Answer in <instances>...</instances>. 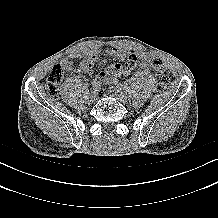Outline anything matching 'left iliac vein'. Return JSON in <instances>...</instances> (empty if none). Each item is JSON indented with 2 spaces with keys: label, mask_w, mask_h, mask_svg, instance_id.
I'll return each instance as SVG.
<instances>
[{
  "label": "left iliac vein",
  "mask_w": 218,
  "mask_h": 218,
  "mask_svg": "<svg viewBox=\"0 0 218 218\" xmlns=\"http://www.w3.org/2000/svg\"><path fill=\"white\" fill-rule=\"evenodd\" d=\"M110 95L115 97L118 101L125 104L127 102V98L124 93H121L119 89H113L109 91Z\"/></svg>",
  "instance_id": "left-iliac-vein-1"
}]
</instances>
